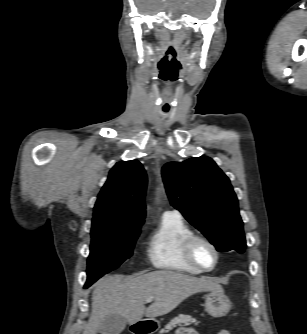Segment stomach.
<instances>
[{"instance_id":"obj_1","label":"stomach","mask_w":307,"mask_h":334,"mask_svg":"<svg viewBox=\"0 0 307 334\" xmlns=\"http://www.w3.org/2000/svg\"><path fill=\"white\" fill-rule=\"evenodd\" d=\"M231 309V302L229 298L224 294L223 290L211 291L206 295L205 310L213 317H223ZM144 327L150 330V332L155 331L158 328V324L155 321H143Z\"/></svg>"}]
</instances>
